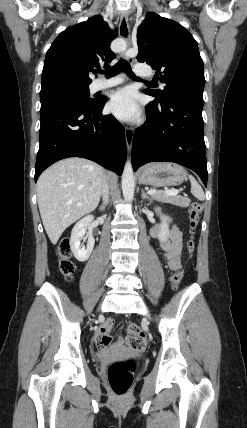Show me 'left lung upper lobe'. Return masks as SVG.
<instances>
[{"mask_svg": "<svg viewBox=\"0 0 247 428\" xmlns=\"http://www.w3.org/2000/svg\"><path fill=\"white\" fill-rule=\"evenodd\" d=\"M137 60L146 62L160 75L163 90L145 89L155 104L176 97L203 103L205 86L203 60L196 40L180 24L148 13L137 30Z\"/></svg>", "mask_w": 247, "mask_h": 428, "instance_id": "obj_1", "label": "left lung upper lobe"}]
</instances>
